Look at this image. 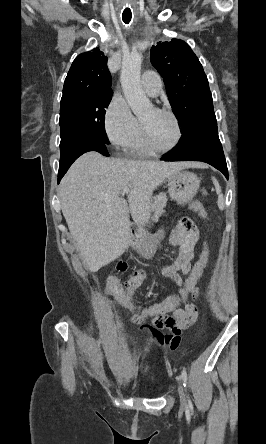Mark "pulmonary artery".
<instances>
[{"label": "pulmonary artery", "instance_id": "e3ab8cb5", "mask_svg": "<svg viewBox=\"0 0 266 444\" xmlns=\"http://www.w3.org/2000/svg\"><path fill=\"white\" fill-rule=\"evenodd\" d=\"M141 84L143 90L150 96H157L162 90V80L159 74L153 70L143 73Z\"/></svg>", "mask_w": 266, "mask_h": 444}]
</instances>
